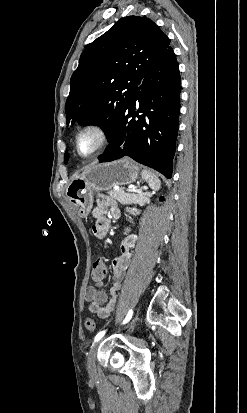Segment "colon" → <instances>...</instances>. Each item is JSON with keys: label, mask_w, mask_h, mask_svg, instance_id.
Masks as SVG:
<instances>
[{"label": "colon", "mask_w": 247, "mask_h": 413, "mask_svg": "<svg viewBox=\"0 0 247 413\" xmlns=\"http://www.w3.org/2000/svg\"><path fill=\"white\" fill-rule=\"evenodd\" d=\"M109 274V269L107 267L101 268V261L95 259L92 261V269L88 271V276L90 278H98L101 275L107 276ZM84 327L87 331L92 332L95 330V320L91 317H86L84 319Z\"/></svg>", "instance_id": "5ec220e1"}]
</instances>
